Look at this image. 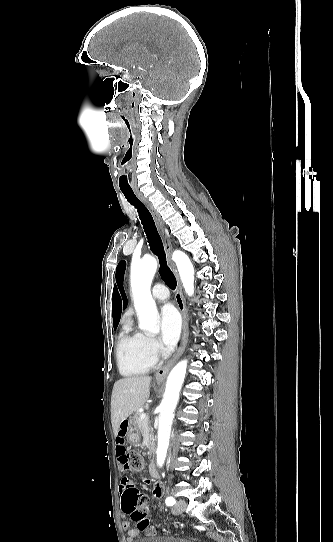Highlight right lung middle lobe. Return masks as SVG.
<instances>
[{"instance_id":"obj_1","label":"right lung middle lobe","mask_w":333,"mask_h":542,"mask_svg":"<svg viewBox=\"0 0 333 542\" xmlns=\"http://www.w3.org/2000/svg\"><path fill=\"white\" fill-rule=\"evenodd\" d=\"M116 328H117V325H116V326H114V329H116Z\"/></svg>"}]
</instances>
